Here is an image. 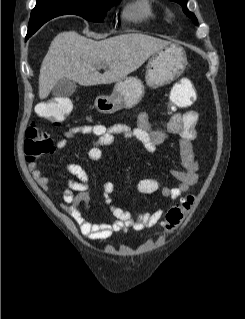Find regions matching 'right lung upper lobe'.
Returning a JSON list of instances; mask_svg holds the SVG:
<instances>
[{"label": "right lung upper lobe", "instance_id": "right-lung-upper-lobe-1", "mask_svg": "<svg viewBox=\"0 0 245 319\" xmlns=\"http://www.w3.org/2000/svg\"><path fill=\"white\" fill-rule=\"evenodd\" d=\"M64 1L69 0H37L36 6L31 13V18H35L37 23L32 24L29 22L28 33H35L45 22L62 15L63 9L59 2Z\"/></svg>", "mask_w": 245, "mask_h": 319}]
</instances>
